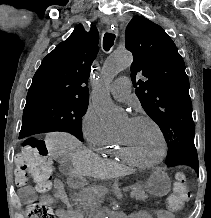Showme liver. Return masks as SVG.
Masks as SVG:
<instances>
[{
  "label": "liver",
  "instance_id": "liver-1",
  "mask_svg": "<svg viewBox=\"0 0 211 218\" xmlns=\"http://www.w3.org/2000/svg\"><path fill=\"white\" fill-rule=\"evenodd\" d=\"M44 142H46L51 156L71 160L73 172L79 176H93V178H101V180H110V178H119L126 174L125 166H119L111 160H103L97 154H92L71 134L52 132V134H47Z\"/></svg>",
  "mask_w": 211,
  "mask_h": 218
}]
</instances>
